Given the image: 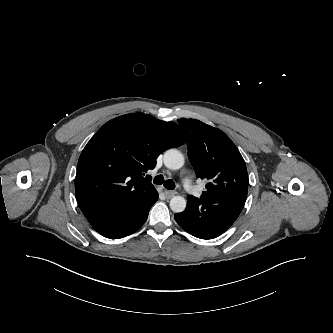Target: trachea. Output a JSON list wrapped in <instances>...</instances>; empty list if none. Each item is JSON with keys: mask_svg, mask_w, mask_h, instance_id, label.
<instances>
[{"mask_svg": "<svg viewBox=\"0 0 333 333\" xmlns=\"http://www.w3.org/2000/svg\"><path fill=\"white\" fill-rule=\"evenodd\" d=\"M153 183L157 184V185L163 184L164 187L166 189H169V190H172V189L175 188V183L171 179L165 180L164 177H163V175H157L154 178Z\"/></svg>", "mask_w": 333, "mask_h": 333, "instance_id": "1", "label": "trachea"}]
</instances>
